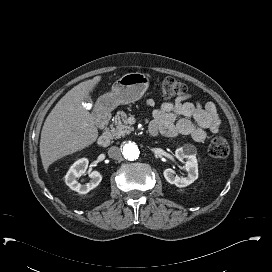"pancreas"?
Here are the masks:
<instances>
[{
    "label": "pancreas",
    "instance_id": "cf45deb5",
    "mask_svg": "<svg viewBox=\"0 0 272 272\" xmlns=\"http://www.w3.org/2000/svg\"><path fill=\"white\" fill-rule=\"evenodd\" d=\"M114 127L111 126L110 135L112 138L117 139L125 136L133 130V127L127 123V114L123 111H118L114 117Z\"/></svg>",
    "mask_w": 272,
    "mask_h": 272
}]
</instances>
